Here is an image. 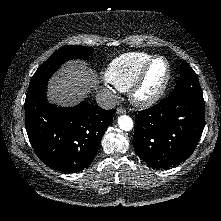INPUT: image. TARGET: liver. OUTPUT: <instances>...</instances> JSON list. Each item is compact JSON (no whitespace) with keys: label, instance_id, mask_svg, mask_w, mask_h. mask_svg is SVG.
Masks as SVG:
<instances>
[{"label":"liver","instance_id":"1","mask_svg":"<svg viewBox=\"0 0 221 221\" xmlns=\"http://www.w3.org/2000/svg\"><path fill=\"white\" fill-rule=\"evenodd\" d=\"M98 84L97 74L85 63L67 62L49 81V101L71 106L83 100Z\"/></svg>","mask_w":221,"mask_h":221}]
</instances>
